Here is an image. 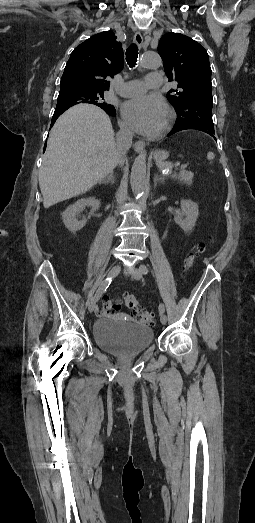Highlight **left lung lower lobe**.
Returning <instances> with one entry per match:
<instances>
[{
    "label": "left lung lower lobe",
    "instance_id": "left-lung-lower-lobe-1",
    "mask_svg": "<svg viewBox=\"0 0 255 523\" xmlns=\"http://www.w3.org/2000/svg\"><path fill=\"white\" fill-rule=\"evenodd\" d=\"M179 128L180 129H192V127H181V126H179L177 128L171 129V132H169V135H172V134L174 135V131H177ZM195 130H200V127H195Z\"/></svg>",
    "mask_w": 255,
    "mask_h": 523
}]
</instances>
